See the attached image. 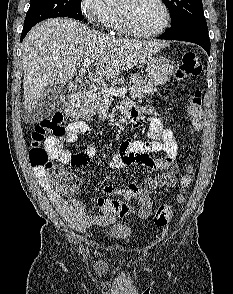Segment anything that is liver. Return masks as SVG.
<instances>
[{
    "mask_svg": "<svg viewBox=\"0 0 233 294\" xmlns=\"http://www.w3.org/2000/svg\"><path fill=\"white\" fill-rule=\"evenodd\" d=\"M163 47L157 40L105 35L73 19L46 20L33 27L22 44L25 110L37 106L47 86L63 87L84 59L96 60L99 78L110 79L143 63Z\"/></svg>",
    "mask_w": 233,
    "mask_h": 294,
    "instance_id": "obj_1",
    "label": "liver"
}]
</instances>
